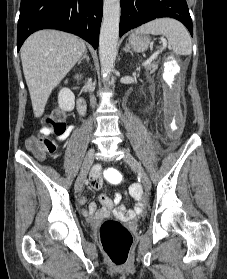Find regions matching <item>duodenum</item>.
I'll return each mask as SVG.
<instances>
[{
	"label": "duodenum",
	"mask_w": 227,
	"mask_h": 279,
	"mask_svg": "<svg viewBox=\"0 0 227 279\" xmlns=\"http://www.w3.org/2000/svg\"><path fill=\"white\" fill-rule=\"evenodd\" d=\"M86 109V99L82 96L77 97V110L80 114H83Z\"/></svg>",
	"instance_id": "410a0bca"
}]
</instances>
